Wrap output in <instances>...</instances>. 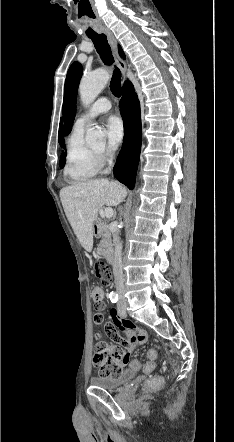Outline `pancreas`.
<instances>
[{"mask_svg":"<svg viewBox=\"0 0 234 442\" xmlns=\"http://www.w3.org/2000/svg\"><path fill=\"white\" fill-rule=\"evenodd\" d=\"M102 240L100 241V247L98 249L99 254L106 256L107 252L106 250H109L112 246L111 243V233L109 231V226L107 223H102Z\"/></svg>","mask_w":234,"mask_h":442,"instance_id":"1","label":"pancreas"}]
</instances>
